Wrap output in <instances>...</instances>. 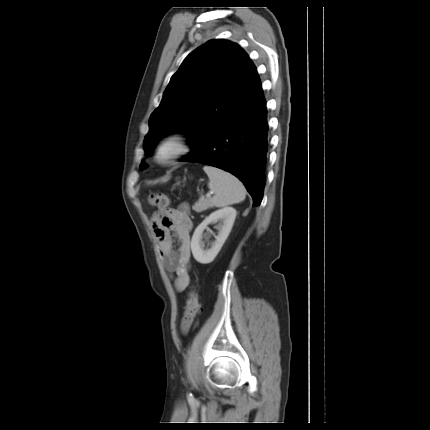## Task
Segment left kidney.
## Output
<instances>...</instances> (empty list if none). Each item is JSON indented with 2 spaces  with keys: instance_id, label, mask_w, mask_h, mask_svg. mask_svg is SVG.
I'll return each instance as SVG.
<instances>
[{
  "instance_id": "5707ae66",
  "label": "left kidney",
  "mask_w": 430,
  "mask_h": 430,
  "mask_svg": "<svg viewBox=\"0 0 430 430\" xmlns=\"http://www.w3.org/2000/svg\"><path fill=\"white\" fill-rule=\"evenodd\" d=\"M236 214L235 208L224 207L212 212L197 226L191 239V250L196 261L201 264H209L215 259L231 232ZM217 222L219 232L215 236L216 240L210 244L208 243L210 248L204 249L205 242L202 240L203 231L209 224Z\"/></svg>"
}]
</instances>
